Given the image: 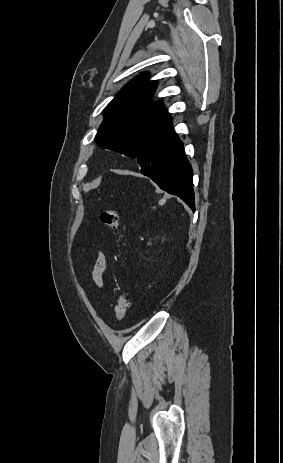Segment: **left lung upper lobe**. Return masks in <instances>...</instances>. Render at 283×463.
<instances>
[{"label": "left lung upper lobe", "instance_id": "1", "mask_svg": "<svg viewBox=\"0 0 283 463\" xmlns=\"http://www.w3.org/2000/svg\"><path fill=\"white\" fill-rule=\"evenodd\" d=\"M156 84L142 74L124 86L105 107L95 142L102 148L136 158L172 121L162 102H150Z\"/></svg>", "mask_w": 283, "mask_h": 463}]
</instances>
